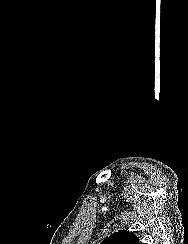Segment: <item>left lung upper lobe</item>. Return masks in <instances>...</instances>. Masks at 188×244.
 <instances>
[{"instance_id":"5c2ea615","label":"left lung upper lobe","mask_w":188,"mask_h":244,"mask_svg":"<svg viewBox=\"0 0 188 244\" xmlns=\"http://www.w3.org/2000/svg\"><path fill=\"white\" fill-rule=\"evenodd\" d=\"M101 244H139V239L129 231L119 230L103 240Z\"/></svg>"}]
</instances>
